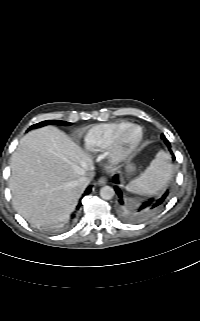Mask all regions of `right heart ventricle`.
<instances>
[{"label": "right heart ventricle", "mask_w": 200, "mask_h": 321, "mask_svg": "<svg viewBox=\"0 0 200 321\" xmlns=\"http://www.w3.org/2000/svg\"><path fill=\"white\" fill-rule=\"evenodd\" d=\"M130 124L128 121H116L93 126L84 135V147L92 153L103 152L113 145L119 134Z\"/></svg>", "instance_id": "obj_1"}]
</instances>
